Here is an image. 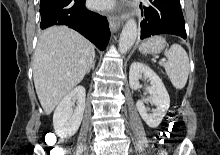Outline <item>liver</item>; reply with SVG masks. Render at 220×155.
Wrapping results in <instances>:
<instances>
[{"instance_id":"1","label":"liver","mask_w":220,"mask_h":155,"mask_svg":"<svg viewBox=\"0 0 220 155\" xmlns=\"http://www.w3.org/2000/svg\"><path fill=\"white\" fill-rule=\"evenodd\" d=\"M95 58L93 44L66 26L44 30L33 59L36 93L46 115L84 78Z\"/></svg>"}]
</instances>
